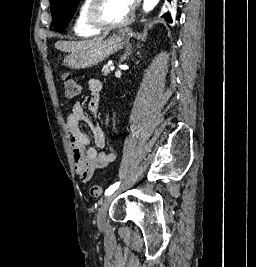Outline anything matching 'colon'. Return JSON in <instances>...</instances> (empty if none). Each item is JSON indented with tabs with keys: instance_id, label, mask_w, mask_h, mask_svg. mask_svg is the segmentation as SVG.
I'll return each mask as SVG.
<instances>
[{
	"instance_id": "obj_1",
	"label": "colon",
	"mask_w": 256,
	"mask_h": 267,
	"mask_svg": "<svg viewBox=\"0 0 256 267\" xmlns=\"http://www.w3.org/2000/svg\"><path fill=\"white\" fill-rule=\"evenodd\" d=\"M63 87L66 96L68 97H76L79 94V85L76 80L69 74H64L63 79ZM104 187L102 185H92L89 188V193L93 197H99L103 194Z\"/></svg>"
}]
</instances>
